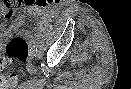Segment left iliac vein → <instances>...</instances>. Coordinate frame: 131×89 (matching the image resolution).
<instances>
[{"instance_id":"obj_1","label":"left iliac vein","mask_w":131,"mask_h":89,"mask_svg":"<svg viewBox=\"0 0 131 89\" xmlns=\"http://www.w3.org/2000/svg\"><path fill=\"white\" fill-rule=\"evenodd\" d=\"M41 54H42V51L39 50V51L37 52V56H39V55H41Z\"/></svg>"}]
</instances>
